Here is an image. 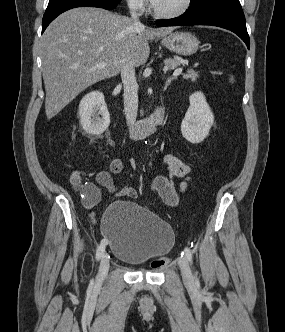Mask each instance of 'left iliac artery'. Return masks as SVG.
I'll list each match as a JSON object with an SVG mask.
<instances>
[{
  "mask_svg": "<svg viewBox=\"0 0 285 332\" xmlns=\"http://www.w3.org/2000/svg\"><path fill=\"white\" fill-rule=\"evenodd\" d=\"M183 255H185L186 258L189 260V262L192 264V262H193V251L190 248L185 247L184 252L182 253L181 256H183ZM195 281H196V283H198L197 278L195 279Z\"/></svg>",
  "mask_w": 285,
  "mask_h": 332,
  "instance_id": "1",
  "label": "left iliac artery"
}]
</instances>
